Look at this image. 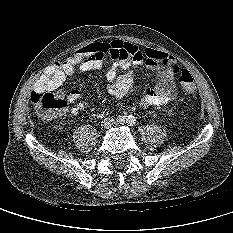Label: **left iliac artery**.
I'll use <instances>...</instances> for the list:
<instances>
[{
    "label": "left iliac artery",
    "mask_w": 233,
    "mask_h": 233,
    "mask_svg": "<svg viewBox=\"0 0 233 233\" xmlns=\"http://www.w3.org/2000/svg\"><path fill=\"white\" fill-rule=\"evenodd\" d=\"M126 123H127L129 126H134L135 123H136L135 117H134V116H129Z\"/></svg>",
    "instance_id": "44dca946"
}]
</instances>
